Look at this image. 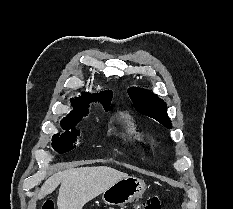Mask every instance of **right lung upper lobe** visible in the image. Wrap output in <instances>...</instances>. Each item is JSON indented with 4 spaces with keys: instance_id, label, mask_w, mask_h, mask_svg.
Wrapping results in <instances>:
<instances>
[{
    "instance_id": "right-lung-upper-lobe-1",
    "label": "right lung upper lobe",
    "mask_w": 233,
    "mask_h": 209,
    "mask_svg": "<svg viewBox=\"0 0 233 209\" xmlns=\"http://www.w3.org/2000/svg\"><path fill=\"white\" fill-rule=\"evenodd\" d=\"M112 95H113L112 91H104L94 95L90 93H83L81 99L72 100V104L75 110L72 111L70 114L87 112L88 103L93 101L94 99L96 101H100L103 104L104 109L107 110L108 107L110 106Z\"/></svg>"
}]
</instances>
